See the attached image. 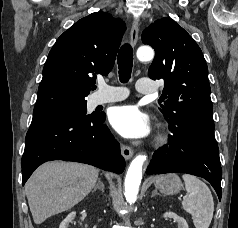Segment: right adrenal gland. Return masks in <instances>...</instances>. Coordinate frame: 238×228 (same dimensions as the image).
Returning a JSON list of instances; mask_svg holds the SVG:
<instances>
[{"label":"right adrenal gland","mask_w":238,"mask_h":228,"mask_svg":"<svg viewBox=\"0 0 238 228\" xmlns=\"http://www.w3.org/2000/svg\"><path fill=\"white\" fill-rule=\"evenodd\" d=\"M98 189L101 190L102 192H104V184H103V182L101 181L100 178H98L97 184L93 188L92 192H95Z\"/></svg>","instance_id":"2a0ac1e0"}]
</instances>
